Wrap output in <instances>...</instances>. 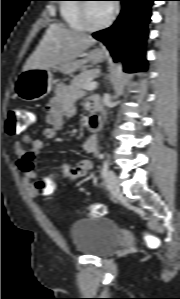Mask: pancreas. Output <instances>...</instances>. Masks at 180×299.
Returning <instances> with one entry per match:
<instances>
[{"mask_svg":"<svg viewBox=\"0 0 180 299\" xmlns=\"http://www.w3.org/2000/svg\"><path fill=\"white\" fill-rule=\"evenodd\" d=\"M100 73L99 69H92L83 71L81 74L75 76L71 80V86L75 89H85V86Z\"/></svg>","mask_w":180,"mask_h":299,"instance_id":"obj_1","label":"pancreas"}]
</instances>
